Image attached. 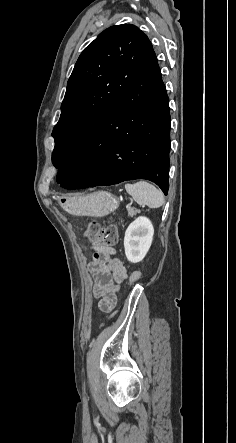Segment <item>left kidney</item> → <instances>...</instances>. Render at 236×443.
<instances>
[{"mask_svg":"<svg viewBox=\"0 0 236 443\" xmlns=\"http://www.w3.org/2000/svg\"><path fill=\"white\" fill-rule=\"evenodd\" d=\"M154 235L151 221L140 216L127 228L124 237L125 255L129 262L138 263L149 251Z\"/></svg>","mask_w":236,"mask_h":443,"instance_id":"1","label":"left kidney"}]
</instances>
